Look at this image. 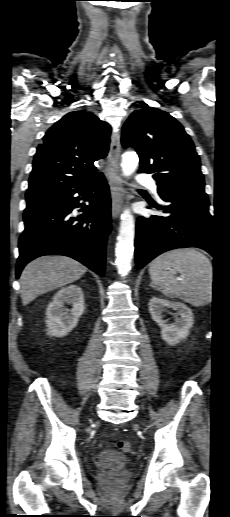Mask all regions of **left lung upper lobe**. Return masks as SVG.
<instances>
[{"label": "left lung upper lobe", "mask_w": 230, "mask_h": 517, "mask_svg": "<svg viewBox=\"0 0 230 517\" xmlns=\"http://www.w3.org/2000/svg\"><path fill=\"white\" fill-rule=\"evenodd\" d=\"M123 147H134L140 172L153 173L169 191L204 192V177L194 144L183 126L167 112L146 107L135 110L122 129Z\"/></svg>", "instance_id": "left-lung-upper-lobe-1"}]
</instances>
